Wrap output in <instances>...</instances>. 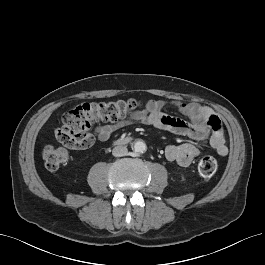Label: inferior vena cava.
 <instances>
[{"instance_id": "obj_1", "label": "inferior vena cava", "mask_w": 265, "mask_h": 265, "mask_svg": "<svg viewBox=\"0 0 265 265\" xmlns=\"http://www.w3.org/2000/svg\"><path fill=\"white\" fill-rule=\"evenodd\" d=\"M128 153V149L125 146H116L112 150V154L115 157L126 156Z\"/></svg>"}]
</instances>
